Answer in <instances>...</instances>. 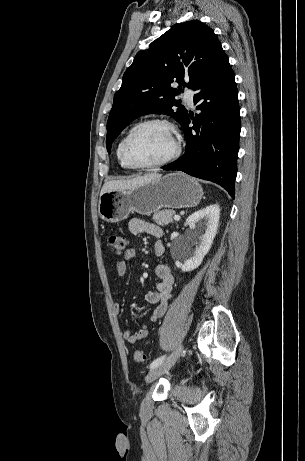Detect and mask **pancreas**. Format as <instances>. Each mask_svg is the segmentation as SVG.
<instances>
[{"instance_id":"cf45deb5","label":"pancreas","mask_w":305,"mask_h":461,"mask_svg":"<svg viewBox=\"0 0 305 461\" xmlns=\"http://www.w3.org/2000/svg\"><path fill=\"white\" fill-rule=\"evenodd\" d=\"M175 211L173 210H160L153 215V220L160 226H166L173 223V216Z\"/></svg>"}]
</instances>
